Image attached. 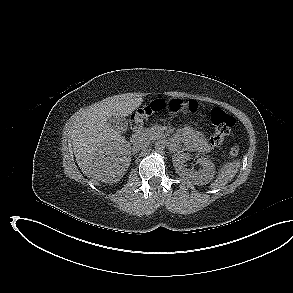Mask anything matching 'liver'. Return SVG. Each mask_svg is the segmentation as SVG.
<instances>
[{
	"mask_svg": "<svg viewBox=\"0 0 293 293\" xmlns=\"http://www.w3.org/2000/svg\"><path fill=\"white\" fill-rule=\"evenodd\" d=\"M143 102L142 97L122 94L108 97L79 111L70 135L78 166L95 181L112 183L123 177L131 162V143L110 128L108 117H127Z\"/></svg>",
	"mask_w": 293,
	"mask_h": 293,
	"instance_id": "liver-1",
	"label": "liver"
}]
</instances>
